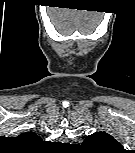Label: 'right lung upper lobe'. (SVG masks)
Wrapping results in <instances>:
<instances>
[{"instance_id": "right-lung-upper-lobe-1", "label": "right lung upper lobe", "mask_w": 135, "mask_h": 153, "mask_svg": "<svg viewBox=\"0 0 135 153\" xmlns=\"http://www.w3.org/2000/svg\"><path fill=\"white\" fill-rule=\"evenodd\" d=\"M21 138L29 139V140H38L39 137L33 132H25L20 135Z\"/></svg>"}]
</instances>
